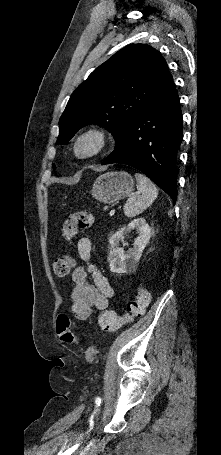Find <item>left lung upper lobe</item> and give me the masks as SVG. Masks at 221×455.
Instances as JSON below:
<instances>
[{
  "mask_svg": "<svg viewBox=\"0 0 221 455\" xmlns=\"http://www.w3.org/2000/svg\"><path fill=\"white\" fill-rule=\"evenodd\" d=\"M171 77L165 59L151 46L124 47L72 93L59 121L57 144L66 143L92 123L110 131L117 144Z\"/></svg>",
  "mask_w": 221,
  "mask_h": 455,
  "instance_id": "left-lung-upper-lobe-1",
  "label": "left lung upper lobe"
}]
</instances>
